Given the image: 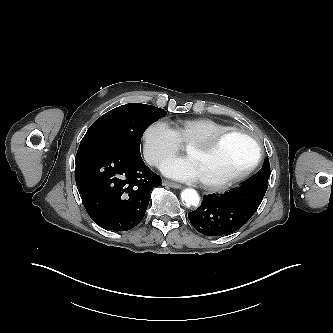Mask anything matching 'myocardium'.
Listing matches in <instances>:
<instances>
[{
	"mask_svg": "<svg viewBox=\"0 0 333 333\" xmlns=\"http://www.w3.org/2000/svg\"><path fill=\"white\" fill-rule=\"evenodd\" d=\"M231 135H241L246 137L254 147V158L246 168L226 180L220 182L201 181L202 186L209 191L226 190L248 177L256 169L261 160L262 150L260 144L251 133L237 128H230L211 137L192 141L187 145V149L195 147L203 151H211L215 149L225 138Z\"/></svg>",
	"mask_w": 333,
	"mask_h": 333,
	"instance_id": "myocardium-1",
	"label": "myocardium"
}]
</instances>
